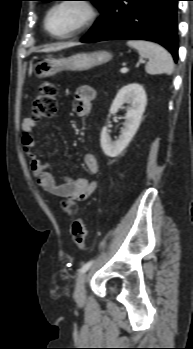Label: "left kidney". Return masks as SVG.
Listing matches in <instances>:
<instances>
[{"mask_svg":"<svg viewBox=\"0 0 193 349\" xmlns=\"http://www.w3.org/2000/svg\"><path fill=\"white\" fill-rule=\"evenodd\" d=\"M124 103L130 104V107L125 116L124 129L118 140H111L107 126H104L101 131V147L108 157L118 156L128 146L139 128L147 103L146 93L142 85L131 83L122 87L110 107L109 116L117 113Z\"/></svg>","mask_w":193,"mask_h":349,"instance_id":"5707ae66","label":"left kidney"}]
</instances>
